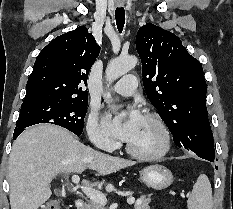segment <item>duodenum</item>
Here are the masks:
<instances>
[{
	"instance_id": "obj_1",
	"label": "duodenum",
	"mask_w": 233,
	"mask_h": 209,
	"mask_svg": "<svg viewBox=\"0 0 233 209\" xmlns=\"http://www.w3.org/2000/svg\"><path fill=\"white\" fill-rule=\"evenodd\" d=\"M75 206H76L77 209H84V207H85L84 200L80 199V198L76 199Z\"/></svg>"
}]
</instances>
